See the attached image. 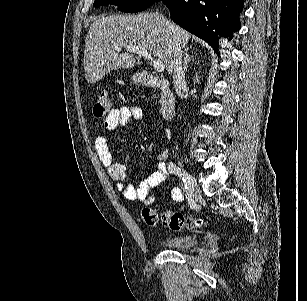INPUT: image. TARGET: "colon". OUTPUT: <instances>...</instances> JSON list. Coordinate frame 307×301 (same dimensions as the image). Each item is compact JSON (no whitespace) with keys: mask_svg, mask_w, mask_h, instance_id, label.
Here are the masks:
<instances>
[{"mask_svg":"<svg viewBox=\"0 0 307 301\" xmlns=\"http://www.w3.org/2000/svg\"><path fill=\"white\" fill-rule=\"evenodd\" d=\"M111 107L109 94L106 91L100 93L94 108L93 113L96 117L101 118L105 116ZM142 220L148 226H155L159 222L169 227L173 231L182 229H194L205 225L202 219L193 217H185L179 212L163 211L160 212L151 207H145L141 211Z\"/></svg>","mask_w":307,"mask_h":301,"instance_id":"5ec220e1","label":"colon"}]
</instances>
